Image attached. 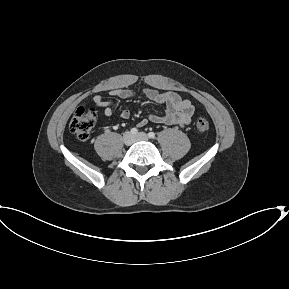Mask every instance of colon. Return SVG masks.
Instances as JSON below:
<instances>
[{"label": "colon", "instance_id": "1", "mask_svg": "<svg viewBox=\"0 0 289 289\" xmlns=\"http://www.w3.org/2000/svg\"><path fill=\"white\" fill-rule=\"evenodd\" d=\"M96 121L97 113L93 108L79 107L69 122V129L79 140H86ZM196 130L200 135L205 136L209 130L208 121L199 118L196 122Z\"/></svg>", "mask_w": 289, "mask_h": 289}]
</instances>
